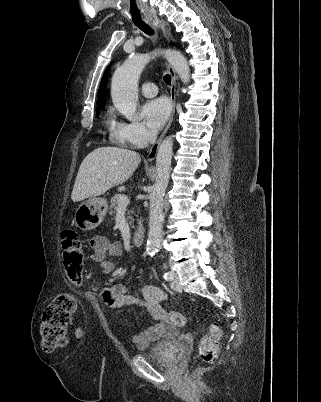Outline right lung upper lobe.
Returning a JSON list of instances; mask_svg holds the SVG:
<instances>
[{
	"mask_svg": "<svg viewBox=\"0 0 321 402\" xmlns=\"http://www.w3.org/2000/svg\"><path fill=\"white\" fill-rule=\"evenodd\" d=\"M110 72V66H108L103 74L101 83H100V88L98 91V100H97V106L98 107H105V97H106V91L105 88L107 86V80Z\"/></svg>",
	"mask_w": 321,
	"mask_h": 402,
	"instance_id": "right-lung-upper-lobe-1",
	"label": "right lung upper lobe"
}]
</instances>
